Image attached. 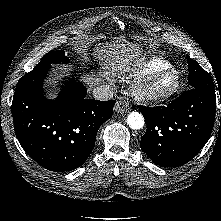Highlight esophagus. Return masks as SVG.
I'll return each instance as SVG.
<instances>
[{"instance_id":"obj_1","label":"esophagus","mask_w":221,"mask_h":221,"mask_svg":"<svg viewBox=\"0 0 221 221\" xmlns=\"http://www.w3.org/2000/svg\"><path fill=\"white\" fill-rule=\"evenodd\" d=\"M115 112L119 113V114H123L126 113L130 110L129 104L127 101L125 100H119L115 107H114Z\"/></svg>"}]
</instances>
